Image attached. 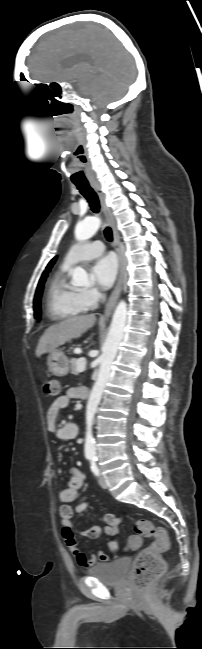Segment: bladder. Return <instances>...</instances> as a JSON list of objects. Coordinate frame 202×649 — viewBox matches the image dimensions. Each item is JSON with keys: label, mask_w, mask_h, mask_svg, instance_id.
I'll return each mask as SVG.
<instances>
[{"label": "bladder", "mask_w": 202, "mask_h": 649, "mask_svg": "<svg viewBox=\"0 0 202 649\" xmlns=\"http://www.w3.org/2000/svg\"><path fill=\"white\" fill-rule=\"evenodd\" d=\"M130 560L126 557L111 562L98 563L90 567L87 573L108 585H118L126 577Z\"/></svg>", "instance_id": "1"}]
</instances>
